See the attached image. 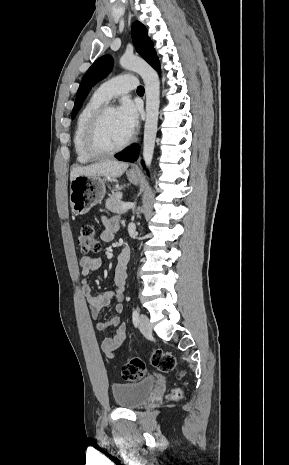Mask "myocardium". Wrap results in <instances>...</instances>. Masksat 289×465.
I'll return each instance as SVG.
<instances>
[{
    "instance_id": "myocardium-1",
    "label": "myocardium",
    "mask_w": 289,
    "mask_h": 465,
    "mask_svg": "<svg viewBox=\"0 0 289 465\" xmlns=\"http://www.w3.org/2000/svg\"><path fill=\"white\" fill-rule=\"evenodd\" d=\"M111 109L115 108L108 104L101 105L94 111L86 125L84 145L87 152L95 157L116 154L128 147L132 141V138L130 136L122 144L116 147H106L102 144L100 140L101 124L105 115Z\"/></svg>"
}]
</instances>
